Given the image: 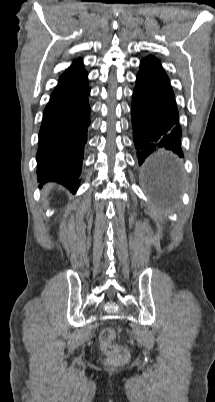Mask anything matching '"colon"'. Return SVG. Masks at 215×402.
<instances>
[{"label": "colon", "mask_w": 215, "mask_h": 402, "mask_svg": "<svg viewBox=\"0 0 215 402\" xmlns=\"http://www.w3.org/2000/svg\"><path fill=\"white\" fill-rule=\"evenodd\" d=\"M116 336L115 329L105 328L100 334V345L110 364L122 365L128 360L129 354L124 347L115 343Z\"/></svg>", "instance_id": "obj_1"}]
</instances>
